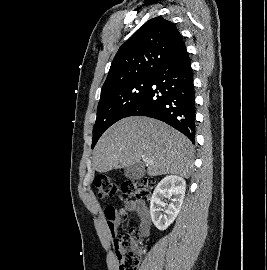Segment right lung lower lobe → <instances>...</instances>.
Returning <instances> with one entry per match:
<instances>
[{
    "label": "right lung lower lobe",
    "instance_id": "98d812e1",
    "mask_svg": "<svg viewBox=\"0 0 267 270\" xmlns=\"http://www.w3.org/2000/svg\"><path fill=\"white\" fill-rule=\"evenodd\" d=\"M143 98L125 115L161 120L195 139V95L190 59L183 44L151 76Z\"/></svg>",
    "mask_w": 267,
    "mask_h": 270
}]
</instances>
